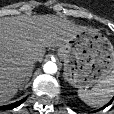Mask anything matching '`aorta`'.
I'll return each mask as SVG.
<instances>
[{
  "mask_svg": "<svg viewBox=\"0 0 114 114\" xmlns=\"http://www.w3.org/2000/svg\"><path fill=\"white\" fill-rule=\"evenodd\" d=\"M44 72L49 73V74H53L57 72V65L54 62H47L44 67Z\"/></svg>",
  "mask_w": 114,
  "mask_h": 114,
  "instance_id": "obj_1",
  "label": "aorta"
}]
</instances>
